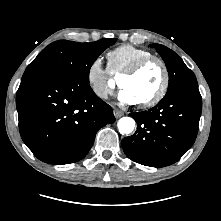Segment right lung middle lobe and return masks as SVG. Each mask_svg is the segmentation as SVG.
Here are the masks:
<instances>
[{
    "label": "right lung middle lobe",
    "instance_id": "right-lung-middle-lobe-1",
    "mask_svg": "<svg viewBox=\"0 0 221 221\" xmlns=\"http://www.w3.org/2000/svg\"><path fill=\"white\" fill-rule=\"evenodd\" d=\"M116 38L91 43L58 40L44 48L27 66V73H52L89 83V71L94 61Z\"/></svg>",
    "mask_w": 221,
    "mask_h": 221
}]
</instances>
